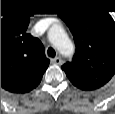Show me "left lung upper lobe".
I'll use <instances>...</instances> for the list:
<instances>
[{
    "instance_id": "1",
    "label": "left lung upper lobe",
    "mask_w": 115,
    "mask_h": 114,
    "mask_svg": "<svg viewBox=\"0 0 115 114\" xmlns=\"http://www.w3.org/2000/svg\"><path fill=\"white\" fill-rule=\"evenodd\" d=\"M71 30L76 52L61 68L82 90H95L115 74V22L103 11L83 9L61 14Z\"/></svg>"
}]
</instances>
